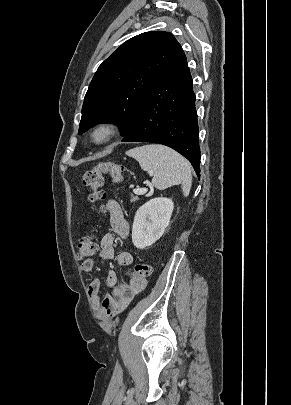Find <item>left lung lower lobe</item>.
Returning a JSON list of instances; mask_svg holds the SVG:
<instances>
[{
    "mask_svg": "<svg viewBox=\"0 0 291 405\" xmlns=\"http://www.w3.org/2000/svg\"><path fill=\"white\" fill-rule=\"evenodd\" d=\"M122 141L166 145L186 157L200 177L195 94L183 50L148 91Z\"/></svg>",
    "mask_w": 291,
    "mask_h": 405,
    "instance_id": "obj_1",
    "label": "left lung lower lobe"
}]
</instances>
